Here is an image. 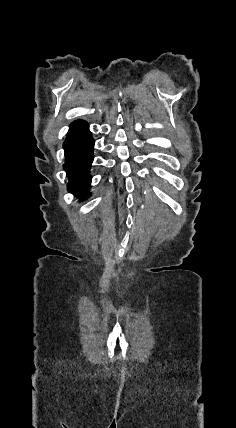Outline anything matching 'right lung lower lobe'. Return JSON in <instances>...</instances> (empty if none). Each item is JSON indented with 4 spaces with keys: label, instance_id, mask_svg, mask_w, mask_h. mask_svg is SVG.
Listing matches in <instances>:
<instances>
[{
    "label": "right lung lower lobe",
    "instance_id": "right-lung-lower-lobe-1",
    "mask_svg": "<svg viewBox=\"0 0 236 428\" xmlns=\"http://www.w3.org/2000/svg\"><path fill=\"white\" fill-rule=\"evenodd\" d=\"M94 140L88 124L77 120L70 125L64 142L66 163L64 169L69 177L68 190L85 199L89 196L91 176L89 170L93 161Z\"/></svg>",
    "mask_w": 236,
    "mask_h": 428
}]
</instances>
